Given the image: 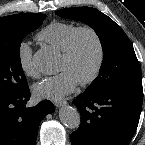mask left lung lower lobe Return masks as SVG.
<instances>
[{"label": "left lung lower lobe", "instance_id": "left-lung-lower-lobe-1", "mask_svg": "<svg viewBox=\"0 0 145 145\" xmlns=\"http://www.w3.org/2000/svg\"><path fill=\"white\" fill-rule=\"evenodd\" d=\"M142 84L102 93L83 92L73 101L81 115L72 145H128L133 138L142 108Z\"/></svg>", "mask_w": 145, "mask_h": 145}]
</instances>
